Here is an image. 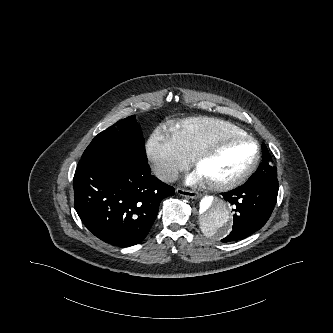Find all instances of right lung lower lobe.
Returning <instances> with one entry per match:
<instances>
[{
  "instance_id": "98d812e1",
  "label": "right lung lower lobe",
  "mask_w": 333,
  "mask_h": 333,
  "mask_svg": "<svg viewBox=\"0 0 333 333\" xmlns=\"http://www.w3.org/2000/svg\"><path fill=\"white\" fill-rule=\"evenodd\" d=\"M74 206L86 228L118 247L141 242L153 225L161 200L173 187L151 175L148 164L121 159L78 163L74 175Z\"/></svg>"
}]
</instances>
